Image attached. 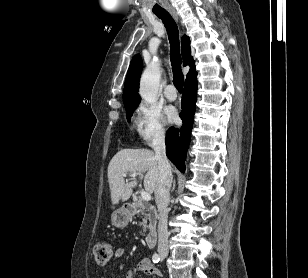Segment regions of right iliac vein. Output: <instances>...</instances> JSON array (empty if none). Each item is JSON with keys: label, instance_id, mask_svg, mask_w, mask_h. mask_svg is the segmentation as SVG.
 I'll return each mask as SVG.
<instances>
[{"label": "right iliac vein", "instance_id": "1", "mask_svg": "<svg viewBox=\"0 0 308 278\" xmlns=\"http://www.w3.org/2000/svg\"><path fill=\"white\" fill-rule=\"evenodd\" d=\"M159 254H160V257H161L162 259L166 258L167 255H168V253H167L166 251H160Z\"/></svg>", "mask_w": 308, "mask_h": 278}]
</instances>
